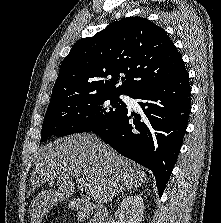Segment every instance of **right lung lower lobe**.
I'll use <instances>...</instances> for the list:
<instances>
[{
	"instance_id": "right-lung-lower-lobe-1",
	"label": "right lung lower lobe",
	"mask_w": 221,
	"mask_h": 223,
	"mask_svg": "<svg viewBox=\"0 0 221 223\" xmlns=\"http://www.w3.org/2000/svg\"><path fill=\"white\" fill-rule=\"evenodd\" d=\"M190 83L185 71L177 79L130 95L143 113L126 107L109 123L91 130L120 154L149 168L163 194L178 158L190 114Z\"/></svg>"
}]
</instances>
